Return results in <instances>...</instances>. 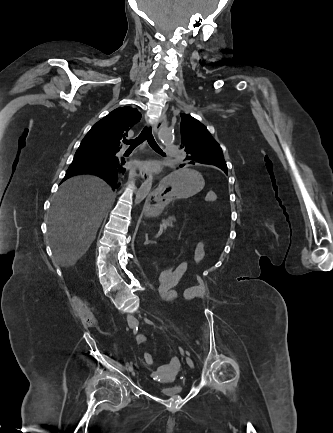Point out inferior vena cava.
Segmentation results:
<instances>
[{
  "instance_id": "obj_1",
  "label": "inferior vena cava",
  "mask_w": 333,
  "mask_h": 433,
  "mask_svg": "<svg viewBox=\"0 0 333 433\" xmlns=\"http://www.w3.org/2000/svg\"><path fill=\"white\" fill-rule=\"evenodd\" d=\"M134 320V317L132 315H127V321L131 322Z\"/></svg>"
}]
</instances>
